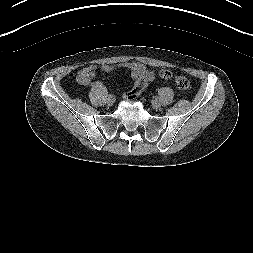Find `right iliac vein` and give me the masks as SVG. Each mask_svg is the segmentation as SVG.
Segmentation results:
<instances>
[{"label":"right iliac vein","mask_w":253,"mask_h":253,"mask_svg":"<svg viewBox=\"0 0 253 253\" xmlns=\"http://www.w3.org/2000/svg\"><path fill=\"white\" fill-rule=\"evenodd\" d=\"M114 98H108V101H107V103H108V105H110V106H112L113 104H114Z\"/></svg>","instance_id":"1"}]
</instances>
